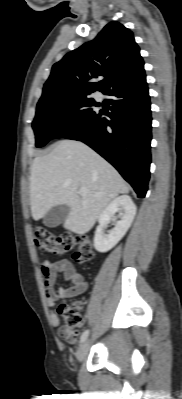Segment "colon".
<instances>
[{
	"mask_svg": "<svg viewBox=\"0 0 182 399\" xmlns=\"http://www.w3.org/2000/svg\"><path fill=\"white\" fill-rule=\"evenodd\" d=\"M35 244L44 252L62 255L73 252V260L78 264H86L93 260L94 251L90 239L85 235L63 233L54 235L42 226L32 229ZM58 315L63 320L62 326L69 339H75V331L81 324L80 304H61L57 309Z\"/></svg>",
	"mask_w": 182,
	"mask_h": 399,
	"instance_id": "colon-1",
	"label": "colon"
}]
</instances>
